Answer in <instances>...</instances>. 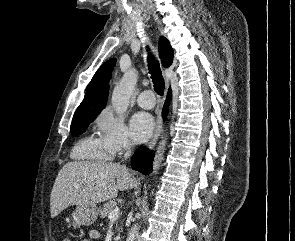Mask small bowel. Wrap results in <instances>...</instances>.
Returning a JSON list of instances; mask_svg holds the SVG:
<instances>
[{
	"label": "small bowel",
	"mask_w": 295,
	"mask_h": 241,
	"mask_svg": "<svg viewBox=\"0 0 295 241\" xmlns=\"http://www.w3.org/2000/svg\"><path fill=\"white\" fill-rule=\"evenodd\" d=\"M100 237V233L96 230H92L89 232L88 237L83 239L82 241H92V240H96ZM63 241H70V240H63Z\"/></svg>",
	"instance_id": "small-bowel-1"
}]
</instances>
